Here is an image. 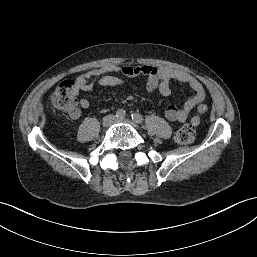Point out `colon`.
Returning a JSON list of instances; mask_svg holds the SVG:
<instances>
[{
	"label": "colon",
	"instance_id": "obj_1",
	"mask_svg": "<svg viewBox=\"0 0 257 257\" xmlns=\"http://www.w3.org/2000/svg\"><path fill=\"white\" fill-rule=\"evenodd\" d=\"M51 102L58 110L75 112L78 102L74 92V82L71 80L61 82L52 94ZM195 136V126L193 124H186L176 132L175 140L180 144H189L194 141Z\"/></svg>",
	"mask_w": 257,
	"mask_h": 257
}]
</instances>
